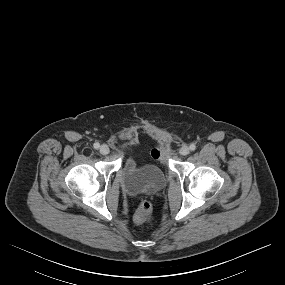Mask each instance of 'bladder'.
Instances as JSON below:
<instances>
[{"label": "bladder", "mask_w": 285, "mask_h": 285, "mask_svg": "<svg viewBox=\"0 0 285 285\" xmlns=\"http://www.w3.org/2000/svg\"><path fill=\"white\" fill-rule=\"evenodd\" d=\"M120 173L121 184L129 193L156 191L166 183V176L158 166L138 165L133 157L126 159Z\"/></svg>", "instance_id": "31cf9c89"}]
</instances>
